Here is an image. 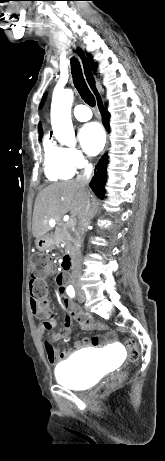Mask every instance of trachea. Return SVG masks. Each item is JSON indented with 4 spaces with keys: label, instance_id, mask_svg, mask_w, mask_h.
Listing matches in <instances>:
<instances>
[{
    "label": "trachea",
    "instance_id": "1",
    "mask_svg": "<svg viewBox=\"0 0 165 461\" xmlns=\"http://www.w3.org/2000/svg\"><path fill=\"white\" fill-rule=\"evenodd\" d=\"M71 69H72L73 82H74V85H75L77 91L79 92L80 96L82 97V99L88 105L94 106L95 105V97L91 93V91L89 90V88H88V86H87V84L85 82V79L83 77V73H82L80 64L76 59H73L71 61ZM85 75H86L87 81H88L90 87L92 88L94 94L97 96V98H99L98 91L96 90V88L94 86V84H95L94 78H93L87 64L85 66Z\"/></svg>",
    "mask_w": 165,
    "mask_h": 461
}]
</instances>
